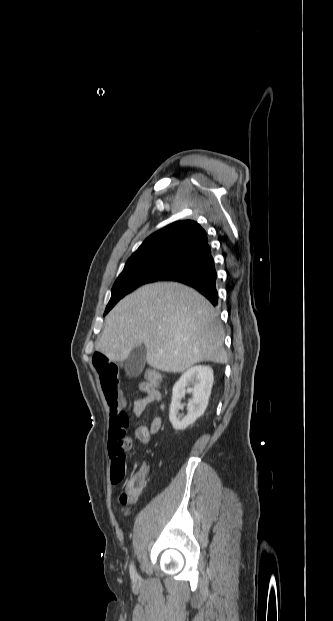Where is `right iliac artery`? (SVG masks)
I'll use <instances>...</instances> for the list:
<instances>
[{
	"instance_id": "right-iliac-artery-1",
	"label": "right iliac artery",
	"mask_w": 333,
	"mask_h": 621,
	"mask_svg": "<svg viewBox=\"0 0 333 621\" xmlns=\"http://www.w3.org/2000/svg\"><path fill=\"white\" fill-rule=\"evenodd\" d=\"M130 576H131L133 581H135L137 579V573H136L135 566H134L133 563H131V565H130Z\"/></svg>"
}]
</instances>
